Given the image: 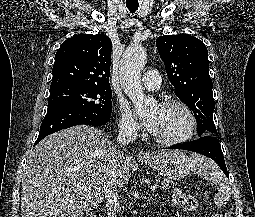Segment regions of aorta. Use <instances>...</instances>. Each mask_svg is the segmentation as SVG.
<instances>
[{
  "label": "aorta",
  "mask_w": 255,
  "mask_h": 217,
  "mask_svg": "<svg viewBox=\"0 0 255 217\" xmlns=\"http://www.w3.org/2000/svg\"><path fill=\"white\" fill-rule=\"evenodd\" d=\"M147 61L145 49L139 45H130L120 61V83L139 116H144L155 105V100L143 93L141 72Z\"/></svg>",
  "instance_id": "762f6f07"
}]
</instances>
